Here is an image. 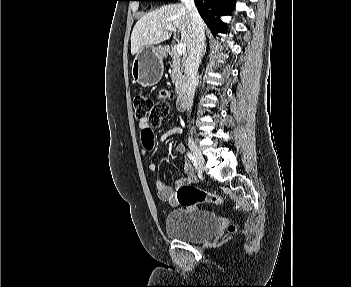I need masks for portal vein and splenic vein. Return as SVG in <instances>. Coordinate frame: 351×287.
<instances>
[{"mask_svg":"<svg viewBox=\"0 0 351 287\" xmlns=\"http://www.w3.org/2000/svg\"><path fill=\"white\" fill-rule=\"evenodd\" d=\"M166 29L173 31V32H176V29L173 28L172 26H167ZM185 51H186V45L184 43H178L177 48H176V55L177 56L183 55V54H185Z\"/></svg>","mask_w":351,"mask_h":287,"instance_id":"18ae733b","label":"portal vein and splenic vein"}]
</instances>
